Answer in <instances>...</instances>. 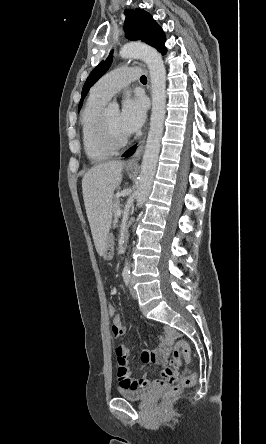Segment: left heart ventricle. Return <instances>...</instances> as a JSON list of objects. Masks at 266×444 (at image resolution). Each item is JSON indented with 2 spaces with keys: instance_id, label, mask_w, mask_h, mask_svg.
<instances>
[{
  "instance_id": "1",
  "label": "left heart ventricle",
  "mask_w": 266,
  "mask_h": 444,
  "mask_svg": "<svg viewBox=\"0 0 266 444\" xmlns=\"http://www.w3.org/2000/svg\"><path fill=\"white\" fill-rule=\"evenodd\" d=\"M106 120L108 132L115 141H120L128 136L119 123V112L117 110H107Z\"/></svg>"
}]
</instances>
